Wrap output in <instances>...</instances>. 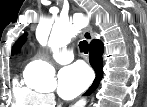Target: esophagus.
I'll use <instances>...</instances> for the list:
<instances>
[{
  "mask_svg": "<svg viewBox=\"0 0 147 107\" xmlns=\"http://www.w3.org/2000/svg\"><path fill=\"white\" fill-rule=\"evenodd\" d=\"M83 37L88 42H90L93 39L92 30H91L90 26H85V28L83 30Z\"/></svg>",
  "mask_w": 147,
  "mask_h": 107,
  "instance_id": "esophagus-1",
  "label": "esophagus"
}]
</instances>
